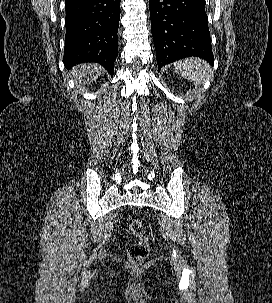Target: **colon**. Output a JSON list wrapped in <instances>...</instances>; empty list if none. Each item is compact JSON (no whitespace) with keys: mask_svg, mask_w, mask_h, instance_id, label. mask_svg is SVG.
<instances>
[{"mask_svg":"<svg viewBox=\"0 0 272 303\" xmlns=\"http://www.w3.org/2000/svg\"><path fill=\"white\" fill-rule=\"evenodd\" d=\"M128 230L130 235L135 239L128 248V257L133 264L139 265L149 256V237L142 222L138 219H134L130 222Z\"/></svg>","mask_w":272,"mask_h":303,"instance_id":"obj_1","label":"colon"}]
</instances>
